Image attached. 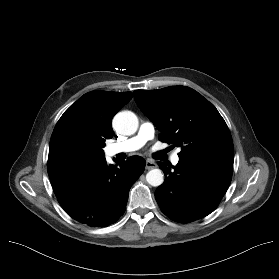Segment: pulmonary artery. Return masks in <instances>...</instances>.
I'll return each instance as SVG.
<instances>
[{"label": "pulmonary artery", "mask_w": 279, "mask_h": 279, "mask_svg": "<svg viewBox=\"0 0 279 279\" xmlns=\"http://www.w3.org/2000/svg\"><path fill=\"white\" fill-rule=\"evenodd\" d=\"M155 134V126L152 122L145 121L141 124L139 131L136 135L121 141L110 144L107 148V154L109 156H114L119 153H129L142 148L146 142L153 139ZM180 150L175 151L171 155V163L173 165H177L180 158H179Z\"/></svg>", "instance_id": "1"}]
</instances>
